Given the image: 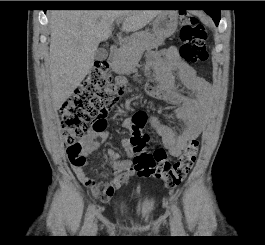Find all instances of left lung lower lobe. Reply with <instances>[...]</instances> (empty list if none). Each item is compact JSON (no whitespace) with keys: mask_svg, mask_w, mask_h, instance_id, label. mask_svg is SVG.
<instances>
[{"mask_svg":"<svg viewBox=\"0 0 265 245\" xmlns=\"http://www.w3.org/2000/svg\"><path fill=\"white\" fill-rule=\"evenodd\" d=\"M205 12L207 14H209L213 18L216 25H218V23L220 21V10L219 9H211V10H205Z\"/></svg>","mask_w":265,"mask_h":245,"instance_id":"left-lung-lower-lobe-1","label":"left lung lower lobe"}]
</instances>
